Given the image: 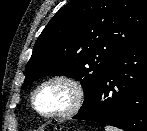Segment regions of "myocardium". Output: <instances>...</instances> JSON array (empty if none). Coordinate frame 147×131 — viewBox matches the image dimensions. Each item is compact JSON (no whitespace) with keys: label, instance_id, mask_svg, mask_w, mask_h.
<instances>
[{"label":"myocardium","instance_id":"f54148a6","mask_svg":"<svg viewBox=\"0 0 147 131\" xmlns=\"http://www.w3.org/2000/svg\"><path fill=\"white\" fill-rule=\"evenodd\" d=\"M51 83H62L66 85L72 93V102L67 109L56 113H43L36 106V95L46 85ZM86 99V91L82 82L74 76L68 74H57L42 80L31 93V106L33 110L44 119H64L78 113L83 107Z\"/></svg>","mask_w":147,"mask_h":131}]
</instances>
